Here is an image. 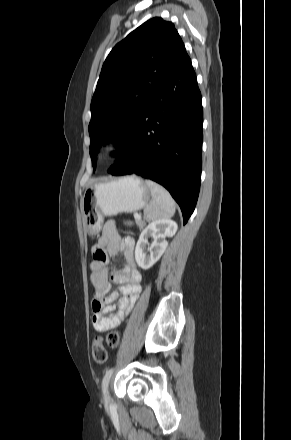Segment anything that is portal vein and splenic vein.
Here are the masks:
<instances>
[{
  "label": "portal vein and splenic vein",
  "instance_id": "18ae733b",
  "mask_svg": "<svg viewBox=\"0 0 291 440\" xmlns=\"http://www.w3.org/2000/svg\"><path fill=\"white\" fill-rule=\"evenodd\" d=\"M134 218H135V219H141V215H139L138 213H135V214H134Z\"/></svg>",
  "mask_w": 291,
  "mask_h": 440
}]
</instances>
